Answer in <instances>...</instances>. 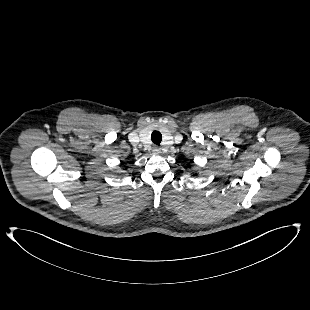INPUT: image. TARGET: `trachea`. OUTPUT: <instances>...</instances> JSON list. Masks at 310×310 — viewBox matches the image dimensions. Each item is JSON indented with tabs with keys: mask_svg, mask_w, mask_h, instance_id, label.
<instances>
[{
	"mask_svg": "<svg viewBox=\"0 0 310 310\" xmlns=\"http://www.w3.org/2000/svg\"><path fill=\"white\" fill-rule=\"evenodd\" d=\"M151 140L154 144L159 145L162 140V135L158 131H153L151 135Z\"/></svg>",
	"mask_w": 310,
	"mask_h": 310,
	"instance_id": "3493384b",
	"label": "trachea"
}]
</instances>
